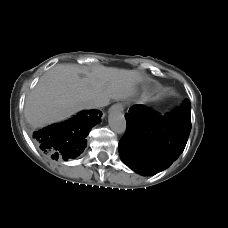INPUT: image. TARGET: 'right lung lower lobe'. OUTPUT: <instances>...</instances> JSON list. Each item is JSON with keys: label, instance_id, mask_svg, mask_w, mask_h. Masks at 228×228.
Returning <instances> with one entry per match:
<instances>
[{"label": "right lung lower lobe", "instance_id": "1", "mask_svg": "<svg viewBox=\"0 0 228 228\" xmlns=\"http://www.w3.org/2000/svg\"><path fill=\"white\" fill-rule=\"evenodd\" d=\"M101 116L100 110H85L65 122L34 131L32 138L53 159H73L85 149V138Z\"/></svg>", "mask_w": 228, "mask_h": 228}]
</instances>
